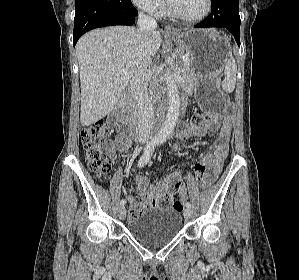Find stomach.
I'll return each instance as SVG.
<instances>
[{"mask_svg":"<svg viewBox=\"0 0 299 280\" xmlns=\"http://www.w3.org/2000/svg\"><path fill=\"white\" fill-rule=\"evenodd\" d=\"M169 39L191 55L196 76L194 92L202 110L209 114L220 112L226 97L220 91L218 77L231 57L228 40L214 29L178 31Z\"/></svg>","mask_w":299,"mask_h":280,"instance_id":"obj_1","label":"stomach"}]
</instances>
